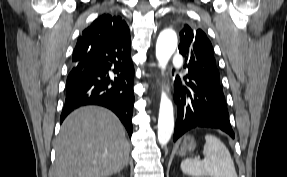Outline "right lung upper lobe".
Instances as JSON below:
<instances>
[{"instance_id": "1", "label": "right lung upper lobe", "mask_w": 287, "mask_h": 177, "mask_svg": "<svg viewBox=\"0 0 287 177\" xmlns=\"http://www.w3.org/2000/svg\"><path fill=\"white\" fill-rule=\"evenodd\" d=\"M118 39L130 41V32L126 22L119 16L110 14L99 16L79 37L73 52V63L84 59L93 43L112 42Z\"/></svg>"}]
</instances>
